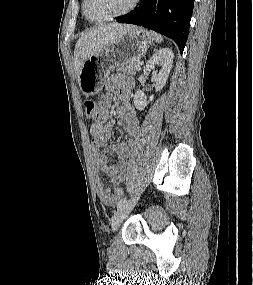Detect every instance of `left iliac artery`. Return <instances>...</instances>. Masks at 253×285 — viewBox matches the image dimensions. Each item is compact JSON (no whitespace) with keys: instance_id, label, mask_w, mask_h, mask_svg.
<instances>
[{"instance_id":"left-iliac-artery-1","label":"left iliac artery","mask_w":253,"mask_h":285,"mask_svg":"<svg viewBox=\"0 0 253 285\" xmlns=\"http://www.w3.org/2000/svg\"><path fill=\"white\" fill-rule=\"evenodd\" d=\"M126 201H127V198H126V197L122 198V199L118 202L117 208H120L122 205H124V204L126 203Z\"/></svg>"}]
</instances>
